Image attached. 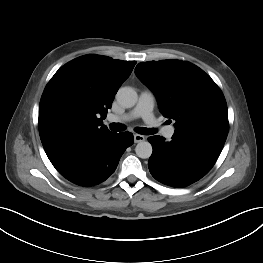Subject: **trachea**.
<instances>
[{
  "label": "trachea",
  "instance_id": "1",
  "mask_svg": "<svg viewBox=\"0 0 263 263\" xmlns=\"http://www.w3.org/2000/svg\"><path fill=\"white\" fill-rule=\"evenodd\" d=\"M110 129L112 131H123L125 130V126L120 124V123H112L110 125ZM135 131L139 134H142V135H152L154 134L156 131L154 129H150V128H144V127H136L135 128Z\"/></svg>",
  "mask_w": 263,
  "mask_h": 263
}]
</instances>
